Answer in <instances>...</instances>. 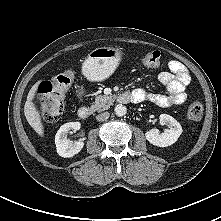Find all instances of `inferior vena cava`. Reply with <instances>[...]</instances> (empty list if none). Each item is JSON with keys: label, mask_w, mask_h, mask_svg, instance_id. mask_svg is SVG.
Masks as SVG:
<instances>
[{"label": "inferior vena cava", "mask_w": 221, "mask_h": 221, "mask_svg": "<svg viewBox=\"0 0 221 221\" xmlns=\"http://www.w3.org/2000/svg\"><path fill=\"white\" fill-rule=\"evenodd\" d=\"M110 114L108 112H103L96 116L97 121H105L109 118Z\"/></svg>", "instance_id": "602c4592"}]
</instances>
